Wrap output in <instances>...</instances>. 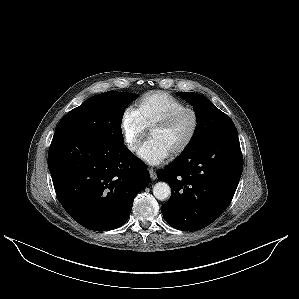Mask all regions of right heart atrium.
<instances>
[{"label":"right heart atrium","mask_w":299,"mask_h":299,"mask_svg":"<svg viewBox=\"0 0 299 299\" xmlns=\"http://www.w3.org/2000/svg\"><path fill=\"white\" fill-rule=\"evenodd\" d=\"M120 129L125 146L129 151L135 152L147 133V128L135 109L129 107L124 110Z\"/></svg>","instance_id":"1"}]
</instances>
